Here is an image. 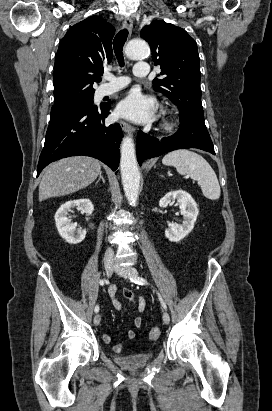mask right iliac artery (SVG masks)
<instances>
[{"instance_id": "82829eb1", "label": "right iliac artery", "mask_w": 272, "mask_h": 411, "mask_svg": "<svg viewBox=\"0 0 272 411\" xmlns=\"http://www.w3.org/2000/svg\"><path fill=\"white\" fill-rule=\"evenodd\" d=\"M105 282H106V281H105L104 279H101V280H100V285H104ZM94 311H95V313H97V312L99 311V306H98V305L95 306Z\"/></svg>"}]
</instances>
